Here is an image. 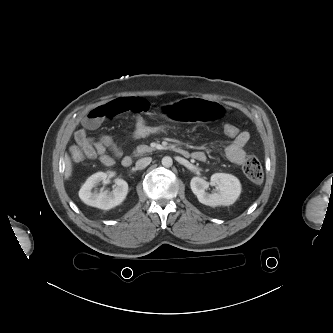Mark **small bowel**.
Wrapping results in <instances>:
<instances>
[{
  "label": "small bowel",
  "instance_id": "small-bowel-1",
  "mask_svg": "<svg viewBox=\"0 0 333 333\" xmlns=\"http://www.w3.org/2000/svg\"><path fill=\"white\" fill-rule=\"evenodd\" d=\"M150 104L141 98H118L106 104L97 106L90 110L82 120V127L75 133V140L78 148L88 159H99L105 166H111L114 158L122 156V150L108 135H102L94 141L88 136V131L97 129L100 124L108 118H113L124 113H132L135 122L144 121L141 114L148 111ZM250 139L248 132H240L232 142L226 147L225 155L227 159L236 164L242 165L246 158L245 147ZM111 152V155L108 153ZM192 156L205 161L206 155L201 151L194 152Z\"/></svg>",
  "mask_w": 333,
  "mask_h": 333
}]
</instances>
